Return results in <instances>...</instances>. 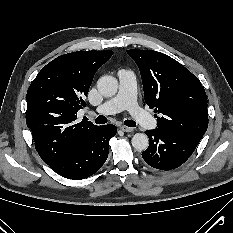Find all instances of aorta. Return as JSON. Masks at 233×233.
Returning <instances> with one entry per match:
<instances>
[{
	"label": "aorta",
	"mask_w": 233,
	"mask_h": 233,
	"mask_svg": "<svg viewBox=\"0 0 233 233\" xmlns=\"http://www.w3.org/2000/svg\"><path fill=\"white\" fill-rule=\"evenodd\" d=\"M97 88L101 95L112 97L117 93L118 81L112 76H103L97 81ZM131 142L132 146L138 151L147 149L149 145V139L144 133H136Z\"/></svg>",
	"instance_id": "obj_1"
}]
</instances>
